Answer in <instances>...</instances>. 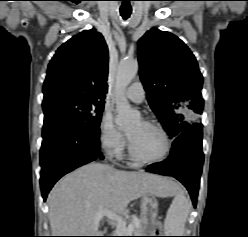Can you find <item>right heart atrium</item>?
<instances>
[{
    "label": "right heart atrium",
    "mask_w": 248,
    "mask_h": 237,
    "mask_svg": "<svg viewBox=\"0 0 248 237\" xmlns=\"http://www.w3.org/2000/svg\"><path fill=\"white\" fill-rule=\"evenodd\" d=\"M99 139L101 146L113 157H120L126 146L123 133L114 123L110 112H104L99 125Z\"/></svg>",
    "instance_id": "d8ad5b80"
}]
</instances>
